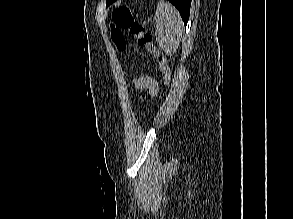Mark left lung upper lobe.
<instances>
[{
    "instance_id": "obj_1",
    "label": "left lung upper lobe",
    "mask_w": 293,
    "mask_h": 219,
    "mask_svg": "<svg viewBox=\"0 0 293 219\" xmlns=\"http://www.w3.org/2000/svg\"><path fill=\"white\" fill-rule=\"evenodd\" d=\"M116 0H107L106 1V5L108 6V5H110V4H112L113 2H115Z\"/></svg>"
}]
</instances>
